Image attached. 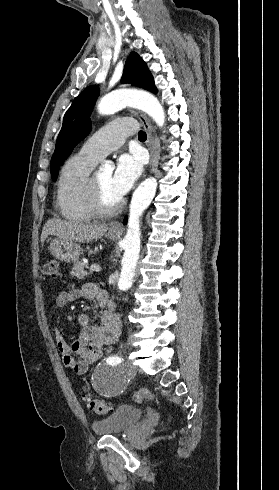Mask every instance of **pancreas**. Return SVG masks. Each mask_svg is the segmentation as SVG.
I'll return each instance as SVG.
<instances>
[{"label": "pancreas", "instance_id": "cf45deb5", "mask_svg": "<svg viewBox=\"0 0 279 490\" xmlns=\"http://www.w3.org/2000/svg\"><path fill=\"white\" fill-rule=\"evenodd\" d=\"M85 268L86 266L83 262H75L71 270V276H73V278H78V280H84V276H89Z\"/></svg>", "mask_w": 279, "mask_h": 490}]
</instances>
